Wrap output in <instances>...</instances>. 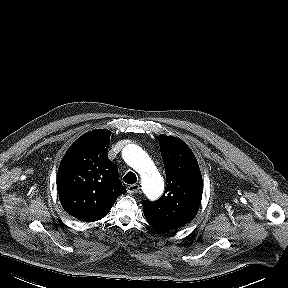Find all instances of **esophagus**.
<instances>
[{
	"mask_svg": "<svg viewBox=\"0 0 288 288\" xmlns=\"http://www.w3.org/2000/svg\"><path fill=\"white\" fill-rule=\"evenodd\" d=\"M140 187L137 184H132L127 186V192L130 194L137 193L139 191Z\"/></svg>",
	"mask_w": 288,
	"mask_h": 288,
	"instance_id": "34e87169",
	"label": "esophagus"
}]
</instances>
